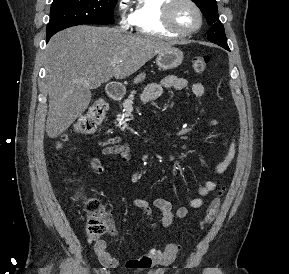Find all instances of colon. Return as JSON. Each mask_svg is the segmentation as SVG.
Instances as JSON below:
<instances>
[{
    "label": "colon",
    "mask_w": 289,
    "mask_h": 274,
    "mask_svg": "<svg viewBox=\"0 0 289 274\" xmlns=\"http://www.w3.org/2000/svg\"><path fill=\"white\" fill-rule=\"evenodd\" d=\"M210 58L207 55L197 56L192 59V67L196 73H203ZM107 113V104L102 99L95 100L88 111L80 116L73 125L72 132L77 135H89L94 133L105 120ZM68 139V135H64L62 142ZM59 144V146H61ZM222 191L212 200L211 204L205 211L201 224L207 225L211 223L220 207ZM76 199H82V189L79 188L75 192ZM85 212L87 216L86 233L92 240H96L104 234H112L116 229L109 215L107 208L97 198L84 199ZM180 249L178 244H169L163 250H151L143 254L139 258L131 259L127 262V268L135 270H147L159 265H168L174 261Z\"/></svg>",
    "instance_id": "obj_1"
}]
</instances>
